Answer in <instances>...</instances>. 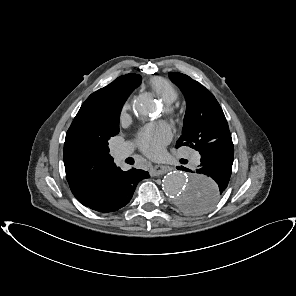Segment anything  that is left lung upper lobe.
Masks as SVG:
<instances>
[{
  "label": "left lung upper lobe",
  "instance_id": "5c2ea615",
  "mask_svg": "<svg viewBox=\"0 0 296 296\" xmlns=\"http://www.w3.org/2000/svg\"><path fill=\"white\" fill-rule=\"evenodd\" d=\"M169 76L181 86L187 101L182 135L176 148L189 146L203 154L214 146L212 143L217 139L230 134L222 108L213 94L199 82L178 72H169ZM193 200L188 199L185 207Z\"/></svg>",
  "mask_w": 296,
  "mask_h": 296
}]
</instances>
